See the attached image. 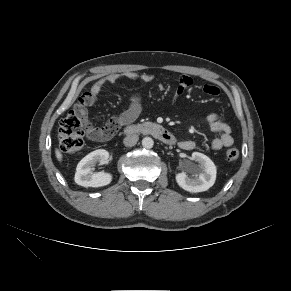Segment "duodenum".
Wrapping results in <instances>:
<instances>
[{"mask_svg":"<svg viewBox=\"0 0 291 291\" xmlns=\"http://www.w3.org/2000/svg\"><path fill=\"white\" fill-rule=\"evenodd\" d=\"M124 133L126 135H151L167 145H172L176 141L174 135L170 131L156 124H128L124 128Z\"/></svg>","mask_w":291,"mask_h":291,"instance_id":"duodenum-1","label":"duodenum"}]
</instances>
